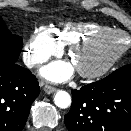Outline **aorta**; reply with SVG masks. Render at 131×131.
Listing matches in <instances>:
<instances>
[{"label": "aorta", "instance_id": "1", "mask_svg": "<svg viewBox=\"0 0 131 131\" xmlns=\"http://www.w3.org/2000/svg\"><path fill=\"white\" fill-rule=\"evenodd\" d=\"M54 102L57 107L65 109L70 106L71 97L66 91L60 90L56 92Z\"/></svg>", "mask_w": 131, "mask_h": 131}]
</instances>
